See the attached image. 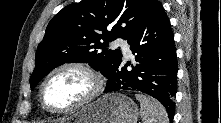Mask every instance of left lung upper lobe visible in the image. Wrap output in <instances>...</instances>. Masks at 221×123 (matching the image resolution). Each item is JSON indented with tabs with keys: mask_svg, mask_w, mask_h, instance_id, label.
I'll return each mask as SVG.
<instances>
[{
	"mask_svg": "<svg viewBox=\"0 0 221 123\" xmlns=\"http://www.w3.org/2000/svg\"><path fill=\"white\" fill-rule=\"evenodd\" d=\"M156 2L82 0L64 7L49 22L37 48L31 89L64 63L88 62L108 78L122 56L120 50L108 49L109 43L117 38L128 39Z\"/></svg>",
	"mask_w": 221,
	"mask_h": 123,
	"instance_id": "left-lung-upper-lobe-1",
	"label": "left lung upper lobe"
}]
</instances>
